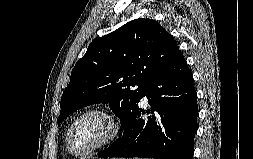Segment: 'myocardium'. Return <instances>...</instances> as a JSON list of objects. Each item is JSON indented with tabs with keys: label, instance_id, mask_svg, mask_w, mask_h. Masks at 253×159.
<instances>
[{
	"label": "myocardium",
	"instance_id": "obj_1",
	"mask_svg": "<svg viewBox=\"0 0 253 159\" xmlns=\"http://www.w3.org/2000/svg\"><path fill=\"white\" fill-rule=\"evenodd\" d=\"M92 113H98L107 118L110 125V132L107 135V137H105L101 142H99L89 150L85 152H76L71 146V136L74 127L81 118ZM120 133H121V124L114 112H112L109 108L104 106L91 107L79 113L69 125L66 134V147L72 155L76 157H86L113 143L119 137Z\"/></svg>",
	"mask_w": 253,
	"mask_h": 159
}]
</instances>
